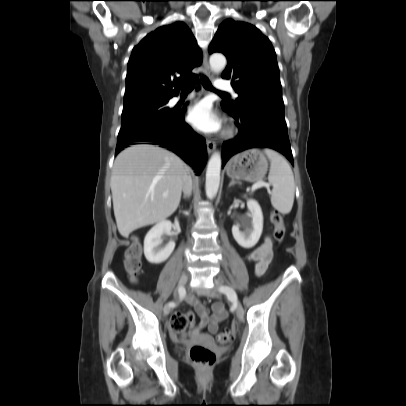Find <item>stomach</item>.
<instances>
[{
	"label": "stomach",
	"instance_id": "0dacf381",
	"mask_svg": "<svg viewBox=\"0 0 406 406\" xmlns=\"http://www.w3.org/2000/svg\"><path fill=\"white\" fill-rule=\"evenodd\" d=\"M268 170V160L258 149L235 155L227 164V175L236 180L255 182L262 180Z\"/></svg>",
	"mask_w": 406,
	"mask_h": 406
}]
</instances>
